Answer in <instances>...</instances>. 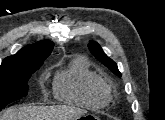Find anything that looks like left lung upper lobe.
<instances>
[{
  "label": "left lung upper lobe",
  "mask_w": 165,
  "mask_h": 120,
  "mask_svg": "<svg viewBox=\"0 0 165 120\" xmlns=\"http://www.w3.org/2000/svg\"><path fill=\"white\" fill-rule=\"evenodd\" d=\"M88 48L97 60H99L106 67H108L114 74L121 77V73L117 68V64L103 52L102 48L98 43L90 42L88 44Z\"/></svg>",
  "instance_id": "5c2ea615"
}]
</instances>
